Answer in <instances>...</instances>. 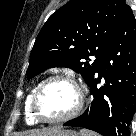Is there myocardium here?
<instances>
[{"mask_svg":"<svg viewBox=\"0 0 136 136\" xmlns=\"http://www.w3.org/2000/svg\"><path fill=\"white\" fill-rule=\"evenodd\" d=\"M54 81H63L68 84H70L77 93V102L75 107L66 115L58 118H46L42 116L37 108L38 104V99L44 88L51 82ZM84 100H85V88L84 86L76 80L74 77L70 75H65V74H56L47 77L45 80H43L35 89L31 102H30V109L33 117L38 121L42 123H48V124H58V123H64L67 121H70L77 117L81 110L83 109L84 106Z\"/></svg>","mask_w":136,"mask_h":136,"instance_id":"1","label":"myocardium"}]
</instances>
